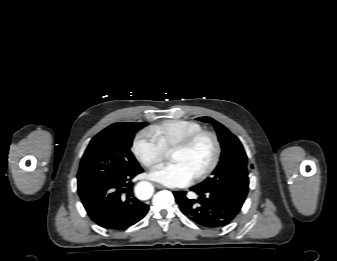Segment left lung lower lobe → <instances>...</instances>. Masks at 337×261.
I'll return each mask as SVG.
<instances>
[{
	"label": "left lung lower lobe",
	"mask_w": 337,
	"mask_h": 261,
	"mask_svg": "<svg viewBox=\"0 0 337 261\" xmlns=\"http://www.w3.org/2000/svg\"><path fill=\"white\" fill-rule=\"evenodd\" d=\"M190 189L199 195L197 200L188 199L185 191L174 192V196L182 213L202 227H224L240 212L242 206L221 192Z\"/></svg>",
	"instance_id": "obj_1"
}]
</instances>
